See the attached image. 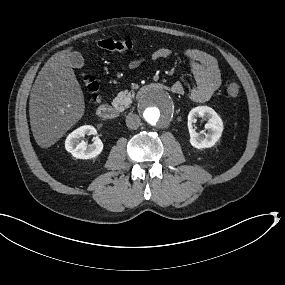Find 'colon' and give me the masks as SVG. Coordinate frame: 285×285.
Segmentation results:
<instances>
[{
	"label": "colon",
	"instance_id": "colon-1",
	"mask_svg": "<svg viewBox=\"0 0 285 285\" xmlns=\"http://www.w3.org/2000/svg\"><path fill=\"white\" fill-rule=\"evenodd\" d=\"M95 45L108 51H129L134 47L131 40L101 39L95 42ZM86 90L92 101L99 100V86L92 75H86L83 79ZM226 93L229 97L235 98L240 93V86L237 82H230L226 87Z\"/></svg>",
	"mask_w": 285,
	"mask_h": 285
}]
</instances>
